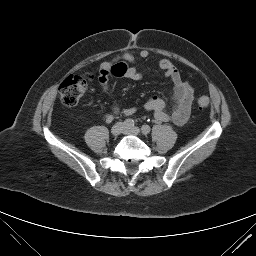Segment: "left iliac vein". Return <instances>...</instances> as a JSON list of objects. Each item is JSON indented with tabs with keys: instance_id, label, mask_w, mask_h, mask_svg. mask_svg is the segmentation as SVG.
Wrapping results in <instances>:
<instances>
[{
	"instance_id": "4c4485c4",
	"label": "left iliac vein",
	"mask_w": 256,
	"mask_h": 256,
	"mask_svg": "<svg viewBox=\"0 0 256 256\" xmlns=\"http://www.w3.org/2000/svg\"><path fill=\"white\" fill-rule=\"evenodd\" d=\"M140 129L138 127H125L123 133L127 135L138 136L140 134Z\"/></svg>"
}]
</instances>
